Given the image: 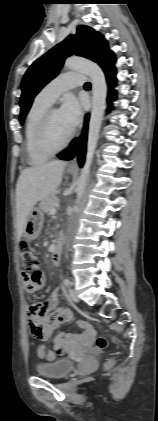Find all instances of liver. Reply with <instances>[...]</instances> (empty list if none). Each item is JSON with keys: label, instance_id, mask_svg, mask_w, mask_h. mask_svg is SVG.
<instances>
[{"label": "liver", "instance_id": "6515ba94", "mask_svg": "<svg viewBox=\"0 0 158 421\" xmlns=\"http://www.w3.org/2000/svg\"><path fill=\"white\" fill-rule=\"evenodd\" d=\"M64 161H52L24 169L16 185L17 236L20 238L25 229L28 214L37 202L52 195L59 187Z\"/></svg>", "mask_w": 158, "mask_h": 421}]
</instances>
